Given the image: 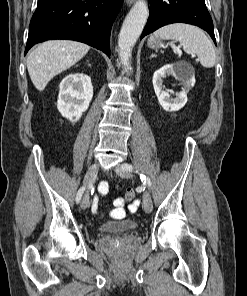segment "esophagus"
Listing matches in <instances>:
<instances>
[{
	"label": "esophagus",
	"instance_id": "1",
	"mask_svg": "<svg viewBox=\"0 0 247 296\" xmlns=\"http://www.w3.org/2000/svg\"><path fill=\"white\" fill-rule=\"evenodd\" d=\"M135 0H126L127 4L131 5Z\"/></svg>",
	"mask_w": 247,
	"mask_h": 296
}]
</instances>
